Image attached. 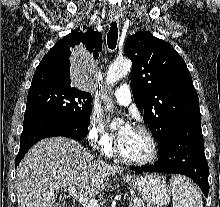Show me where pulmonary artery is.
Segmentation results:
<instances>
[{
    "instance_id": "pulmonary-artery-1",
    "label": "pulmonary artery",
    "mask_w": 220,
    "mask_h": 207,
    "mask_svg": "<svg viewBox=\"0 0 220 207\" xmlns=\"http://www.w3.org/2000/svg\"><path fill=\"white\" fill-rule=\"evenodd\" d=\"M113 95L116 99V101L124 106H127L131 102V91L130 87L127 84H123L120 87H118L114 92Z\"/></svg>"
}]
</instances>
